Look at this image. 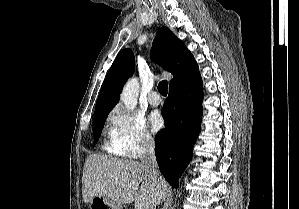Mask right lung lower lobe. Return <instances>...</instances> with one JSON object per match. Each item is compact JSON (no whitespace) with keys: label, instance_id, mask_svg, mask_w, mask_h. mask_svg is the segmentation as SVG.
I'll list each match as a JSON object with an SVG mask.
<instances>
[{"label":"right lung lower lobe","instance_id":"obj_1","mask_svg":"<svg viewBox=\"0 0 299 209\" xmlns=\"http://www.w3.org/2000/svg\"><path fill=\"white\" fill-rule=\"evenodd\" d=\"M202 79L200 75L182 86L172 87L162 115L165 129L155 137L158 166L169 184L178 187V178L192 158L202 121Z\"/></svg>","mask_w":299,"mask_h":209}]
</instances>
